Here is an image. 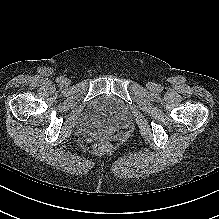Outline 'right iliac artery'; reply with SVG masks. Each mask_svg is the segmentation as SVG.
I'll list each match as a JSON object with an SVG mask.
<instances>
[{
    "instance_id": "1",
    "label": "right iliac artery",
    "mask_w": 219,
    "mask_h": 219,
    "mask_svg": "<svg viewBox=\"0 0 219 219\" xmlns=\"http://www.w3.org/2000/svg\"><path fill=\"white\" fill-rule=\"evenodd\" d=\"M62 79H63L62 77H59V78L56 79V81H57V82H61Z\"/></svg>"
}]
</instances>
